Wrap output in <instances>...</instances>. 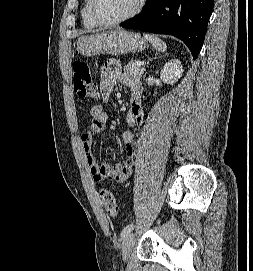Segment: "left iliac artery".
I'll return each mask as SVG.
<instances>
[{
	"label": "left iliac artery",
	"mask_w": 253,
	"mask_h": 271,
	"mask_svg": "<svg viewBox=\"0 0 253 271\" xmlns=\"http://www.w3.org/2000/svg\"><path fill=\"white\" fill-rule=\"evenodd\" d=\"M133 229V224H129L126 227H124V229L121 232V237L125 238Z\"/></svg>",
	"instance_id": "left-iliac-artery-1"
}]
</instances>
